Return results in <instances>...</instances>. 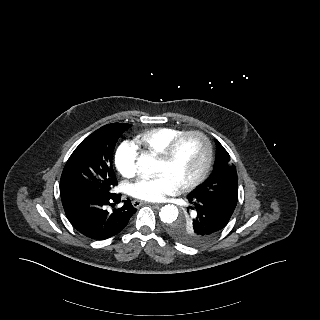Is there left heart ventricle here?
<instances>
[{
    "label": "left heart ventricle",
    "instance_id": "1",
    "mask_svg": "<svg viewBox=\"0 0 320 320\" xmlns=\"http://www.w3.org/2000/svg\"><path fill=\"white\" fill-rule=\"evenodd\" d=\"M204 156L203 142L198 137H188L181 143L172 161L166 163L158 160L156 172L167 175L178 187L199 174Z\"/></svg>",
    "mask_w": 320,
    "mask_h": 320
}]
</instances>
